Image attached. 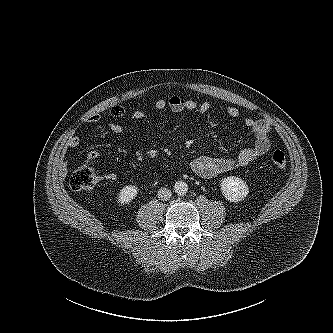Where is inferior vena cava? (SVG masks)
<instances>
[{
	"instance_id": "1",
	"label": "inferior vena cava",
	"mask_w": 333,
	"mask_h": 333,
	"mask_svg": "<svg viewBox=\"0 0 333 333\" xmlns=\"http://www.w3.org/2000/svg\"><path fill=\"white\" fill-rule=\"evenodd\" d=\"M157 195H158L159 200H161V201H167V200H169L171 198L172 193L167 188H160L158 190V194Z\"/></svg>"
}]
</instances>
